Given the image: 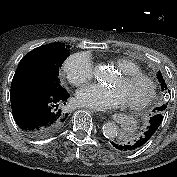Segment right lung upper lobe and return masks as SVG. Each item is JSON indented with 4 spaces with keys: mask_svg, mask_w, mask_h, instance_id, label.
Masks as SVG:
<instances>
[{
    "mask_svg": "<svg viewBox=\"0 0 177 177\" xmlns=\"http://www.w3.org/2000/svg\"><path fill=\"white\" fill-rule=\"evenodd\" d=\"M66 47L63 43L55 42L47 45L40 46L30 53H28L25 57L34 56V55H41L43 57H51L52 55L65 50Z\"/></svg>",
    "mask_w": 177,
    "mask_h": 177,
    "instance_id": "right-lung-upper-lobe-1",
    "label": "right lung upper lobe"
}]
</instances>
